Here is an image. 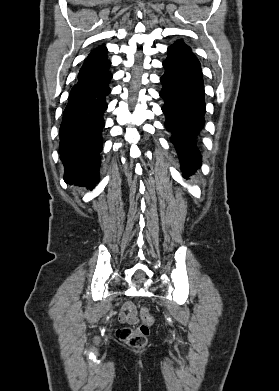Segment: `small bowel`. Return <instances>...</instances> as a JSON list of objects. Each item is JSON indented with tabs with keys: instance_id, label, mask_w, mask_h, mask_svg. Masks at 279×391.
I'll use <instances>...</instances> for the list:
<instances>
[{
	"instance_id": "c3829d8e",
	"label": "small bowel",
	"mask_w": 279,
	"mask_h": 391,
	"mask_svg": "<svg viewBox=\"0 0 279 391\" xmlns=\"http://www.w3.org/2000/svg\"><path fill=\"white\" fill-rule=\"evenodd\" d=\"M119 320L130 325H135L139 322L137 309L132 302L127 301L123 304L119 313Z\"/></svg>"
}]
</instances>
